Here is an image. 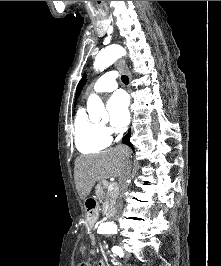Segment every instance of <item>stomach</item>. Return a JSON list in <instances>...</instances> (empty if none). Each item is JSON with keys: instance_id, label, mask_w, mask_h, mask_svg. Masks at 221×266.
<instances>
[{"instance_id": "1", "label": "stomach", "mask_w": 221, "mask_h": 266, "mask_svg": "<svg viewBox=\"0 0 221 266\" xmlns=\"http://www.w3.org/2000/svg\"><path fill=\"white\" fill-rule=\"evenodd\" d=\"M95 214L94 213H91V212H87V218L88 219H95Z\"/></svg>"}]
</instances>
